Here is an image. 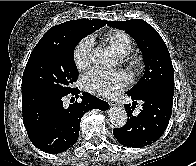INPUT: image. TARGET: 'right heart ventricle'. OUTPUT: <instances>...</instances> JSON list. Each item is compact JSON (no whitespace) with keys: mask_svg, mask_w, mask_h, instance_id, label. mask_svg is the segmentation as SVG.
<instances>
[{"mask_svg":"<svg viewBox=\"0 0 196 166\" xmlns=\"http://www.w3.org/2000/svg\"><path fill=\"white\" fill-rule=\"evenodd\" d=\"M106 40L113 50L121 57L126 56L132 49V41L124 32L114 31L106 36Z\"/></svg>","mask_w":196,"mask_h":166,"instance_id":"e07e8e85","label":"right heart ventricle"}]
</instances>
